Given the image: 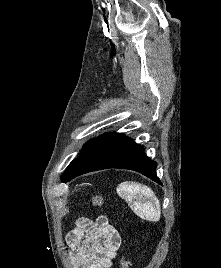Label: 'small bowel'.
I'll use <instances>...</instances> for the list:
<instances>
[{"instance_id":"c3829d8e","label":"small bowel","mask_w":221,"mask_h":268,"mask_svg":"<svg viewBox=\"0 0 221 268\" xmlns=\"http://www.w3.org/2000/svg\"><path fill=\"white\" fill-rule=\"evenodd\" d=\"M74 268H110L121 246V236L105 215L79 218L66 237Z\"/></svg>"}]
</instances>
